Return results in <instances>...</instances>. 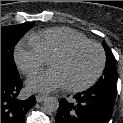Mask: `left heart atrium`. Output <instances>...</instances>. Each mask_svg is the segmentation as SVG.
Segmentation results:
<instances>
[{
    "label": "left heart atrium",
    "mask_w": 123,
    "mask_h": 123,
    "mask_svg": "<svg viewBox=\"0 0 123 123\" xmlns=\"http://www.w3.org/2000/svg\"><path fill=\"white\" fill-rule=\"evenodd\" d=\"M65 86L66 83L62 75L53 68L41 71L27 80L28 89L39 93H49Z\"/></svg>",
    "instance_id": "39dd6f15"
}]
</instances>
